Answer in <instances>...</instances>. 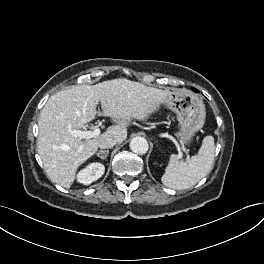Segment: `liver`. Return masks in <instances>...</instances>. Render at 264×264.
Instances as JSON below:
<instances>
[{
    "instance_id": "6515ba94",
    "label": "liver",
    "mask_w": 264,
    "mask_h": 264,
    "mask_svg": "<svg viewBox=\"0 0 264 264\" xmlns=\"http://www.w3.org/2000/svg\"><path fill=\"white\" fill-rule=\"evenodd\" d=\"M171 94L127 79H114L96 85L73 86L52 95L43 107L38 122V153L49 178L64 188L73 184L77 169L93 156L100 142L114 138L122 143L132 119L146 120L156 105ZM115 125L92 139L70 134L94 120L96 107Z\"/></svg>"
}]
</instances>
